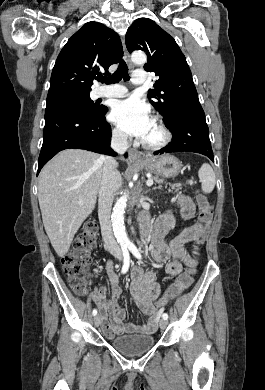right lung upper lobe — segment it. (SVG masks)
I'll use <instances>...</instances> for the list:
<instances>
[{
  "mask_svg": "<svg viewBox=\"0 0 265 390\" xmlns=\"http://www.w3.org/2000/svg\"><path fill=\"white\" fill-rule=\"evenodd\" d=\"M123 56L119 35L95 21L77 31L59 53L53 67L47 100L89 94L93 79L109 74Z\"/></svg>",
  "mask_w": 265,
  "mask_h": 390,
  "instance_id": "1",
  "label": "right lung upper lobe"
}]
</instances>
